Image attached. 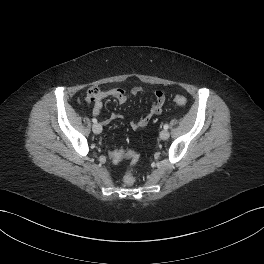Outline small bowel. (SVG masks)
Masks as SVG:
<instances>
[{
    "mask_svg": "<svg viewBox=\"0 0 264 264\" xmlns=\"http://www.w3.org/2000/svg\"><path fill=\"white\" fill-rule=\"evenodd\" d=\"M144 92H146V90L141 86L133 87L129 91H126L121 88L109 89L105 92H102L101 95L97 99L94 100V104L92 107V113L96 116H98L101 113L102 108H103V99L105 98H114L119 103L123 104L127 102L130 97L136 96ZM164 104H165V95L163 91L156 90L154 92L153 103H152V107L149 113L139 119L132 120L131 127L133 129H140V128L145 127L154 115H159L162 113ZM119 118H122V116L117 113H112L107 119L103 121V123L106 125ZM121 151L122 150H115L110 153L109 157L113 163H117L123 159L120 157H115V155L119 154Z\"/></svg>",
    "mask_w": 264,
    "mask_h": 264,
    "instance_id": "1",
    "label": "small bowel"
}]
</instances>
